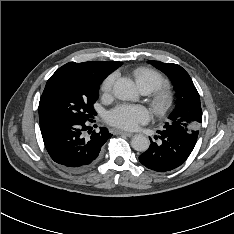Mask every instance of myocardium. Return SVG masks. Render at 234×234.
Listing matches in <instances>:
<instances>
[{
	"instance_id": "1",
	"label": "myocardium",
	"mask_w": 234,
	"mask_h": 234,
	"mask_svg": "<svg viewBox=\"0 0 234 234\" xmlns=\"http://www.w3.org/2000/svg\"><path fill=\"white\" fill-rule=\"evenodd\" d=\"M173 105V96L167 89H158L152 99L151 106L154 113L158 116L165 115Z\"/></svg>"
}]
</instances>
